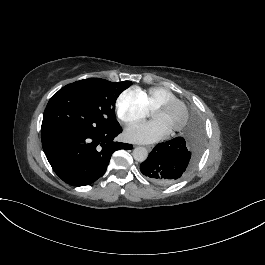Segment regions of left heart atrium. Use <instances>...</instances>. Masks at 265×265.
<instances>
[{
    "instance_id": "left-heart-atrium-1",
    "label": "left heart atrium",
    "mask_w": 265,
    "mask_h": 265,
    "mask_svg": "<svg viewBox=\"0 0 265 265\" xmlns=\"http://www.w3.org/2000/svg\"><path fill=\"white\" fill-rule=\"evenodd\" d=\"M167 135L168 130L157 121L137 123L128 127L124 132L126 140L136 143L156 142Z\"/></svg>"
}]
</instances>
